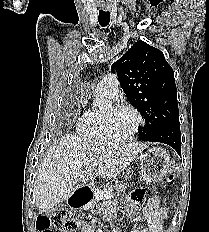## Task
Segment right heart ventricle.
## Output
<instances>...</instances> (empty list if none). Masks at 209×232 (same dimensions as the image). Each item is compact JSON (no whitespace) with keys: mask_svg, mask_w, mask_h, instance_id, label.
Instances as JSON below:
<instances>
[{"mask_svg":"<svg viewBox=\"0 0 209 232\" xmlns=\"http://www.w3.org/2000/svg\"><path fill=\"white\" fill-rule=\"evenodd\" d=\"M100 97L108 98L102 93H98ZM102 112L97 109L86 110L79 118L77 122L78 134L86 140L103 142L106 141V137L102 127Z\"/></svg>","mask_w":209,"mask_h":232,"instance_id":"e07e8e85","label":"right heart ventricle"}]
</instances>
